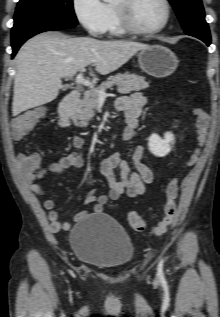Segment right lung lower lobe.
Returning a JSON list of instances; mask_svg holds the SVG:
<instances>
[{
    "label": "right lung lower lobe",
    "instance_id": "right-lung-lower-lobe-1",
    "mask_svg": "<svg viewBox=\"0 0 220 317\" xmlns=\"http://www.w3.org/2000/svg\"><path fill=\"white\" fill-rule=\"evenodd\" d=\"M76 25L69 24L63 21H56V20H49V21H41L29 24L15 33H12V48L13 53L12 57L15 56L16 52L18 51L19 47L29 38L32 36L49 30H61L75 27Z\"/></svg>",
    "mask_w": 220,
    "mask_h": 317
}]
</instances>
